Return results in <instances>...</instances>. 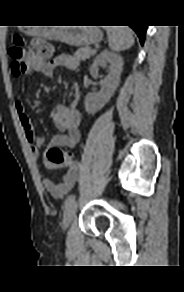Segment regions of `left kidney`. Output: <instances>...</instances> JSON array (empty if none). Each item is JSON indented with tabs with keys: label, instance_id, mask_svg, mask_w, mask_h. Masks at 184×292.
Instances as JSON below:
<instances>
[{
	"label": "left kidney",
	"instance_id": "1",
	"mask_svg": "<svg viewBox=\"0 0 184 292\" xmlns=\"http://www.w3.org/2000/svg\"><path fill=\"white\" fill-rule=\"evenodd\" d=\"M109 64V73L105 79L100 81L101 90L98 93H88L85 96V110L89 114H94L101 110L111 99L120 82L123 70V58L108 50L100 53L90 67L92 77H98L99 67H106Z\"/></svg>",
	"mask_w": 184,
	"mask_h": 292
}]
</instances>
